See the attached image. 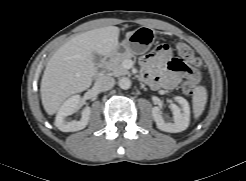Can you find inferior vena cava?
Here are the masks:
<instances>
[{
    "label": "inferior vena cava",
    "instance_id": "602c4592",
    "mask_svg": "<svg viewBox=\"0 0 246 181\" xmlns=\"http://www.w3.org/2000/svg\"><path fill=\"white\" fill-rule=\"evenodd\" d=\"M115 84V80L111 76L103 75L98 77V79L95 82V87L99 91H108L113 88Z\"/></svg>",
    "mask_w": 246,
    "mask_h": 181
}]
</instances>
